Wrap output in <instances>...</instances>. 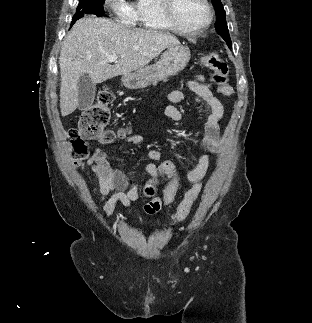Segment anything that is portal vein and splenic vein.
<instances>
[{
  "mask_svg": "<svg viewBox=\"0 0 312 323\" xmlns=\"http://www.w3.org/2000/svg\"><path fill=\"white\" fill-rule=\"evenodd\" d=\"M108 62H117L118 56L116 54H113V56H107Z\"/></svg>",
  "mask_w": 312,
  "mask_h": 323,
  "instance_id": "1",
  "label": "portal vein and splenic vein"
}]
</instances>
